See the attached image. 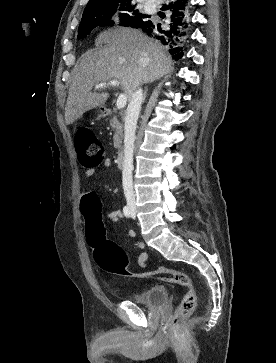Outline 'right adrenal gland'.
<instances>
[{
  "instance_id": "1",
  "label": "right adrenal gland",
  "mask_w": 276,
  "mask_h": 363,
  "mask_svg": "<svg viewBox=\"0 0 276 363\" xmlns=\"http://www.w3.org/2000/svg\"><path fill=\"white\" fill-rule=\"evenodd\" d=\"M146 94H147V90L144 92L143 102H144V101H145V99H146Z\"/></svg>"
}]
</instances>
